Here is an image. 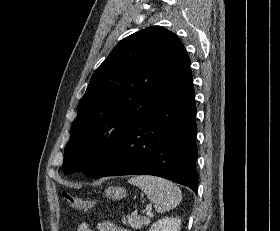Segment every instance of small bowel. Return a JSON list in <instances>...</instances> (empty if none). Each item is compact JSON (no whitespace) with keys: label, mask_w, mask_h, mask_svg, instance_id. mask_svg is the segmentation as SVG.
<instances>
[{"label":"small bowel","mask_w":280,"mask_h":231,"mask_svg":"<svg viewBox=\"0 0 280 231\" xmlns=\"http://www.w3.org/2000/svg\"><path fill=\"white\" fill-rule=\"evenodd\" d=\"M99 231H124L119 226L111 222H102L98 225ZM77 231H92L87 222H81L77 225Z\"/></svg>","instance_id":"small-bowel-1"}]
</instances>
